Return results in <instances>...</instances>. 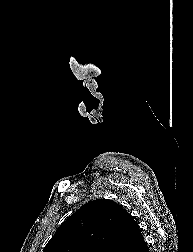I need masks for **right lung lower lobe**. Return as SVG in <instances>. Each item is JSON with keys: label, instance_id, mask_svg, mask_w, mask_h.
Listing matches in <instances>:
<instances>
[{"label": "right lung lower lobe", "instance_id": "1", "mask_svg": "<svg viewBox=\"0 0 193 252\" xmlns=\"http://www.w3.org/2000/svg\"><path fill=\"white\" fill-rule=\"evenodd\" d=\"M131 252H149L144 238L131 250Z\"/></svg>", "mask_w": 193, "mask_h": 252}]
</instances>
